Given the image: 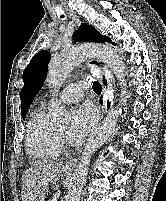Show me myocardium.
Wrapping results in <instances>:
<instances>
[{
  "mask_svg": "<svg viewBox=\"0 0 166 201\" xmlns=\"http://www.w3.org/2000/svg\"><path fill=\"white\" fill-rule=\"evenodd\" d=\"M56 133H57L60 140L64 139V134L62 132H60L59 130H56Z\"/></svg>",
  "mask_w": 166,
  "mask_h": 201,
  "instance_id": "myocardium-1",
  "label": "myocardium"
}]
</instances>
